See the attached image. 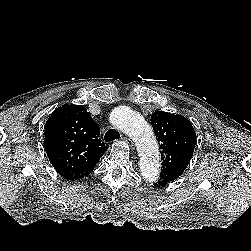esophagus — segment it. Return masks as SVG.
<instances>
[{"instance_id": "obj_1", "label": "esophagus", "mask_w": 251, "mask_h": 251, "mask_svg": "<svg viewBox=\"0 0 251 251\" xmlns=\"http://www.w3.org/2000/svg\"><path fill=\"white\" fill-rule=\"evenodd\" d=\"M123 140L130 146V148H131L132 150L135 148L132 139H130V138H128V137H123Z\"/></svg>"}]
</instances>
